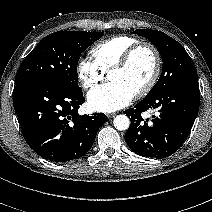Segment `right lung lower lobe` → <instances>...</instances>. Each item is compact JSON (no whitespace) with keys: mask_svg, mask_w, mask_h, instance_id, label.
Returning a JSON list of instances; mask_svg holds the SVG:
<instances>
[{"mask_svg":"<svg viewBox=\"0 0 212 212\" xmlns=\"http://www.w3.org/2000/svg\"><path fill=\"white\" fill-rule=\"evenodd\" d=\"M82 91H71L46 80L14 87L13 104L27 144L42 158L68 162L85 155L107 121L102 113L79 115Z\"/></svg>","mask_w":212,"mask_h":212,"instance_id":"obj_1","label":"right lung lower lobe"}]
</instances>
